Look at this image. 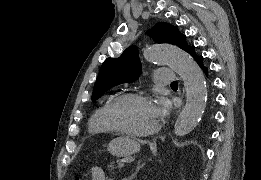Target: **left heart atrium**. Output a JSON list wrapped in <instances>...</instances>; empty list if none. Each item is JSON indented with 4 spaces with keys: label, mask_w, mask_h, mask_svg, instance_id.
Segmentation results:
<instances>
[{
    "label": "left heart atrium",
    "mask_w": 261,
    "mask_h": 180,
    "mask_svg": "<svg viewBox=\"0 0 261 180\" xmlns=\"http://www.w3.org/2000/svg\"><path fill=\"white\" fill-rule=\"evenodd\" d=\"M156 104L158 105L159 108L161 107H167L169 105V101L166 97L164 96H158L155 99Z\"/></svg>",
    "instance_id": "obj_1"
}]
</instances>
